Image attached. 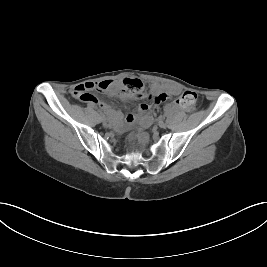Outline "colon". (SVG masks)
Instances as JSON below:
<instances>
[{
    "instance_id": "colon-1",
    "label": "colon",
    "mask_w": 267,
    "mask_h": 267,
    "mask_svg": "<svg viewBox=\"0 0 267 267\" xmlns=\"http://www.w3.org/2000/svg\"><path fill=\"white\" fill-rule=\"evenodd\" d=\"M110 85V81H102L96 83L95 85L91 84H83L76 88L74 95L77 100L80 101H88L94 98V96L90 93L92 90H105ZM124 89L126 92L132 94L133 96L140 98L143 96V85L140 81L135 79H126L124 81ZM168 99V95L166 93H161L155 95L152 100L156 104H160L165 102ZM197 102V94L193 91H186L179 98L178 103L187 111H193L196 108ZM143 137V136H142Z\"/></svg>"
}]
</instances>
